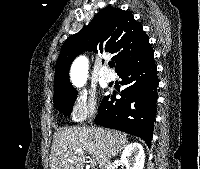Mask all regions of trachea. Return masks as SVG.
<instances>
[{
  "instance_id": "3493384b",
  "label": "trachea",
  "mask_w": 200,
  "mask_h": 169,
  "mask_svg": "<svg viewBox=\"0 0 200 169\" xmlns=\"http://www.w3.org/2000/svg\"><path fill=\"white\" fill-rule=\"evenodd\" d=\"M109 66L112 68L115 66V63L114 62H109Z\"/></svg>"
}]
</instances>
